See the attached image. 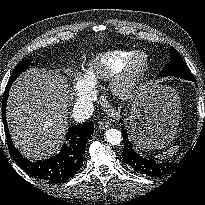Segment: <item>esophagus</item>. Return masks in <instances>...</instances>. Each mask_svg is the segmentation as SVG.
<instances>
[{"instance_id":"esophagus-1","label":"esophagus","mask_w":205,"mask_h":205,"mask_svg":"<svg viewBox=\"0 0 205 205\" xmlns=\"http://www.w3.org/2000/svg\"><path fill=\"white\" fill-rule=\"evenodd\" d=\"M109 126H110V124H109V122H107V121H105V122H103V121L99 122V129H101V130L108 129Z\"/></svg>"}]
</instances>
